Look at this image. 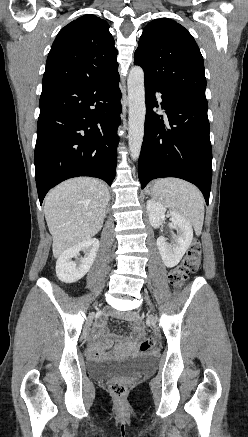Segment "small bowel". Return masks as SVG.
<instances>
[{
  "label": "small bowel",
  "mask_w": 248,
  "mask_h": 437,
  "mask_svg": "<svg viewBox=\"0 0 248 437\" xmlns=\"http://www.w3.org/2000/svg\"><path fill=\"white\" fill-rule=\"evenodd\" d=\"M141 335L142 330L136 327L129 338L119 340L114 335L107 333L104 324H102L96 338L91 343L88 353L93 358H100L121 351H134ZM114 342L116 343L111 349Z\"/></svg>",
  "instance_id": "small-bowel-1"
}]
</instances>
